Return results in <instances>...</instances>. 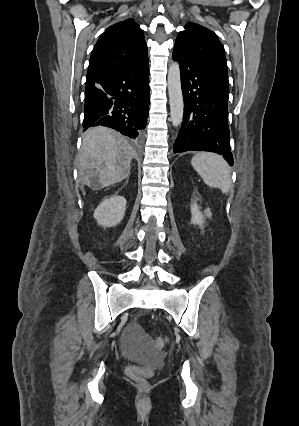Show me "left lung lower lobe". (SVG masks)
<instances>
[{
	"mask_svg": "<svg viewBox=\"0 0 299 426\" xmlns=\"http://www.w3.org/2000/svg\"><path fill=\"white\" fill-rule=\"evenodd\" d=\"M172 57L180 64L185 104L184 121L174 143V153L191 150L217 152L232 166L227 107L229 89L177 51H173Z\"/></svg>",
	"mask_w": 299,
	"mask_h": 426,
	"instance_id": "0a47b994",
	"label": "left lung lower lobe"
}]
</instances>
